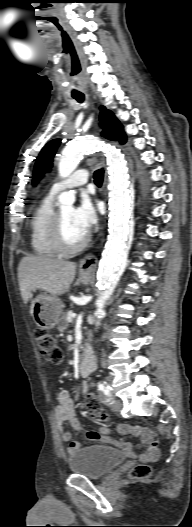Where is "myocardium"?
Masks as SVG:
<instances>
[{"label":"myocardium","mask_w":192,"mask_h":527,"mask_svg":"<svg viewBox=\"0 0 192 527\" xmlns=\"http://www.w3.org/2000/svg\"><path fill=\"white\" fill-rule=\"evenodd\" d=\"M52 236L55 247L60 253L63 254H73L83 250L90 240L89 235H86L79 243L75 245L68 244L64 238L60 211L55 213Z\"/></svg>","instance_id":"f54148a6"}]
</instances>
